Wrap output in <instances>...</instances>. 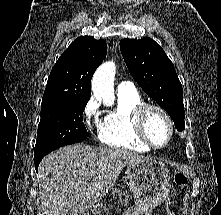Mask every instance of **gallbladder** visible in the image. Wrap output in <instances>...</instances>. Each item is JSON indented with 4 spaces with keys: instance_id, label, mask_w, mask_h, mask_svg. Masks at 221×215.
<instances>
[{
    "instance_id": "obj_1",
    "label": "gallbladder",
    "mask_w": 221,
    "mask_h": 215,
    "mask_svg": "<svg viewBox=\"0 0 221 215\" xmlns=\"http://www.w3.org/2000/svg\"><path fill=\"white\" fill-rule=\"evenodd\" d=\"M66 215H72V210H70V211H69V213H68V214H66Z\"/></svg>"
}]
</instances>
